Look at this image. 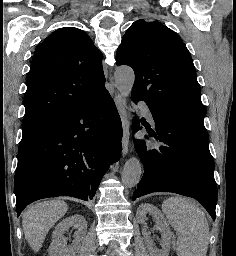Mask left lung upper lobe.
<instances>
[{
    "label": "left lung upper lobe",
    "instance_id": "left-lung-upper-lobe-1",
    "mask_svg": "<svg viewBox=\"0 0 236 256\" xmlns=\"http://www.w3.org/2000/svg\"><path fill=\"white\" fill-rule=\"evenodd\" d=\"M118 65L135 73L131 97L199 127L205 107L190 53L175 32L158 21H135L116 53Z\"/></svg>",
    "mask_w": 236,
    "mask_h": 256
}]
</instances>
